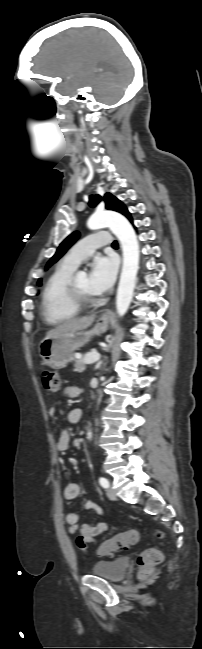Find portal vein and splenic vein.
<instances>
[{
  "mask_svg": "<svg viewBox=\"0 0 202 649\" xmlns=\"http://www.w3.org/2000/svg\"><path fill=\"white\" fill-rule=\"evenodd\" d=\"M100 359V356L96 352H92L88 354L83 360L85 364H94L98 362Z\"/></svg>",
  "mask_w": 202,
  "mask_h": 649,
  "instance_id": "portal-vein-and-splenic-vein-1",
  "label": "portal vein and splenic vein"
}]
</instances>
